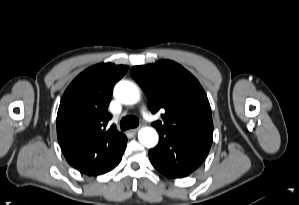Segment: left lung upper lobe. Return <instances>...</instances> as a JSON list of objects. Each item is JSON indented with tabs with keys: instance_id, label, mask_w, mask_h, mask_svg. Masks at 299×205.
I'll list each match as a JSON object with an SVG mask.
<instances>
[{
	"instance_id": "1",
	"label": "left lung upper lobe",
	"mask_w": 299,
	"mask_h": 205,
	"mask_svg": "<svg viewBox=\"0 0 299 205\" xmlns=\"http://www.w3.org/2000/svg\"><path fill=\"white\" fill-rule=\"evenodd\" d=\"M131 75L148 98L152 113L165 112L153 123L159 133H181L213 137V122L208 98L197 79L179 64L161 60L134 66Z\"/></svg>"
}]
</instances>
